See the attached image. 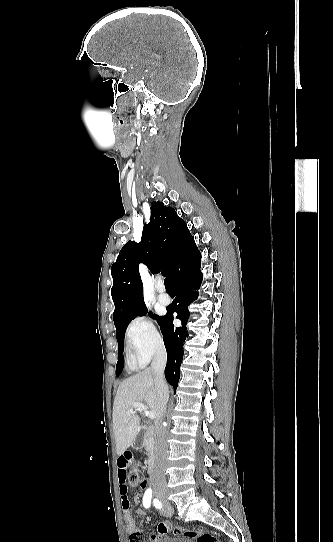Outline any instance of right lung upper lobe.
I'll return each mask as SVG.
<instances>
[{
    "instance_id": "obj_1",
    "label": "right lung upper lobe",
    "mask_w": 333,
    "mask_h": 542,
    "mask_svg": "<svg viewBox=\"0 0 333 542\" xmlns=\"http://www.w3.org/2000/svg\"><path fill=\"white\" fill-rule=\"evenodd\" d=\"M193 242L186 223L174 209L163 202H152L150 222L144 225L141 242L126 243L111 267L114 321L145 307L138 264L144 263L152 273L162 271L171 279L176 255Z\"/></svg>"
}]
</instances>
